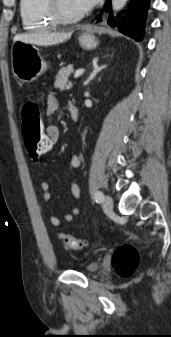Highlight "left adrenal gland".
Listing matches in <instances>:
<instances>
[{
  "mask_svg": "<svg viewBox=\"0 0 171 337\" xmlns=\"http://www.w3.org/2000/svg\"><path fill=\"white\" fill-rule=\"evenodd\" d=\"M97 59H95L94 61H93V71H92V73L90 74V76H89V78L85 81V83H84V85L86 86V85H88V83L91 81V80H93L95 77H96V75L102 70V69H105L107 66L106 65H103V66H98V64H97Z\"/></svg>",
  "mask_w": 171,
  "mask_h": 337,
  "instance_id": "obj_1",
  "label": "left adrenal gland"
}]
</instances>
